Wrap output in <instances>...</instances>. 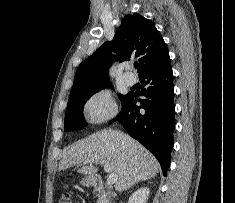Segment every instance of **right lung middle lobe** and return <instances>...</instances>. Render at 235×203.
<instances>
[{
	"label": "right lung middle lobe",
	"instance_id": "1",
	"mask_svg": "<svg viewBox=\"0 0 235 203\" xmlns=\"http://www.w3.org/2000/svg\"><path fill=\"white\" fill-rule=\"evenodd\" d=\"M109 86V82H103L95 84L89 87H86L77 92L71 93L68 100L67 109L65 113V131H75L86 126L84 116H83V107L87 100L96 92L100 91ZM121 101L124 100L126 95H119Z\"/></svg>",
	"mask_w": 235,
	"mask_h": 203
}]
</instances>
